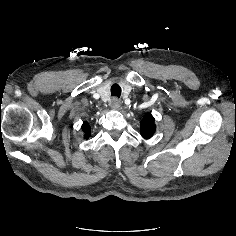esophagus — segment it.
I'll list each match as a JSON object with an SVG mask.
<instances>
[{
    "label": "esophagus",
    "instance_id": "1",
    "mask_svg": "<svg viewBox=\"0 0 236 236\" xmlns=\"http://www.w3.org/2000/svg\"><path fill=\"white\" fill-rule=\"evenodd\" d=\"M111 107H112V109H114V110L119 109V107H120V101H119L117 98L112 99V101H111Z\"/></svg>",
    "mask_w": 236,
    "mask_h": 236
}]
</instances>
